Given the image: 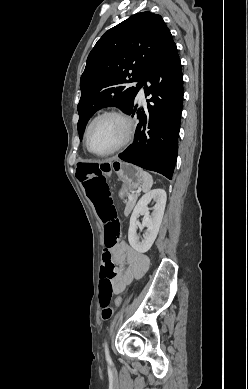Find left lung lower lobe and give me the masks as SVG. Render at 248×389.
I'll list each match as a JSON object with an SVG mask.
<instances>
[{"label":"left lung lower lobe","mask_w":248,"mask_h":389,"mask_svg":"<svg viewBox=\"0 0 248 389\" xmlns=\"http://www.w3.org/2000/svg\"><path fill=\"white\" fill-rule=\"evenodd\" d=\"M146 81L151 85H144ZM143 85L145 96L151 98L146 109H138L134 102L125 111L137 112L139 123L133 144L118 157L172 179L183 106V75L175 43L151 68Z\"/></svg>","instance_id":"left-lung-lower-lobe-1"}]
</instances>
